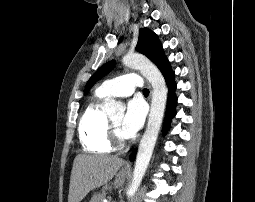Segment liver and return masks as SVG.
Returning a JSON list of instances; mask_svg holds the SVG:
<instances>
[{
	"mask_svg": "<svg viewBox=\"0 0 255 202\" xmlns=\"http://www.w3.org/2000/svg\"><path fill=\"white\" fill-rule=\"evenodd\" d=\"M124 160L109 155H77L71 171L68 202H80L96 187L110 181Z\"/></svg>",
	"mask_w": 255,
	"mask_h": 202,
	"instance_id": "1",
	"label": "liver"
}]
</instances>
